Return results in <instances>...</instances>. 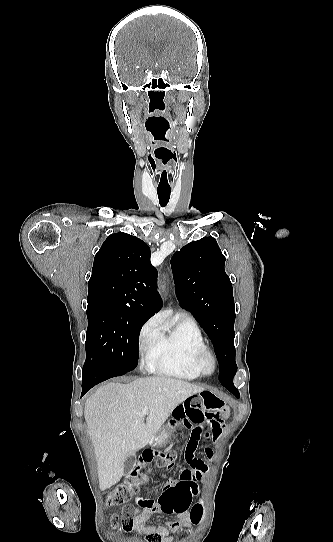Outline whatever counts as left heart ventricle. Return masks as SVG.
Returning a JSON list of instances; mask_svg holds the SVG:
<instances>
[{
  "label": "left heart ventricle",
  "instance_id": "left-heart-ventricle-1",
  "mask_svg": "<svg viewBox=\"0 0 333 542\" xmlns=\"http://www.w3.org/2000/svg\"><path fill=\"white\" fill-rule=\"evenodd\" d=\"M205 367H206V369L210 368V362L208 360L205 361Z\"/></svg>",
  "mask_w": 333,
  "mask_h": 542
}]
</instances>
